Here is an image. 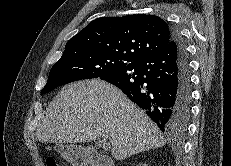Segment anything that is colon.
<instances>
[{
    "label": "colon",
    "instance_id": "colon-1",
    "mask_svg": "<svg viewBox=\"0 0 231 166\" xmlns=\"http://www.w3.org/2000/svg\"><path fill=\"white\" fill-rule=\"evenodd\" d=\"M46 166H59L54 158H47Z\"/></svg>",
    "mask_w": 231,
    "mask_h": 166
}]
</instances>
